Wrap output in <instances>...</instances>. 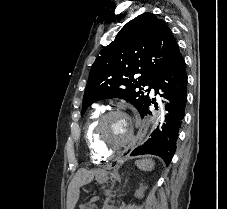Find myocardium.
Masks as SVG:
<instances>
[{
	"label": "myocardium",
	"instance_id": "myocardium-1",
	"mask_svg": "<svg viewBox=\"0 0 227 209\" xmlns=\"http://www.w3.org/2000/svg\"><path fill=\"white\" fill-rule=\"evenodd\" d=\"M118 115H121V116H124L127 118L126 114L123 111H121L119 109H109V110L103 112L99 116V118L97 119L95 126H94V141H95L97 147L101 150V152H103L104 154H107V155H113V154L119 152L120 150H122L123 148L127 147L135 137V129H134L133 125L131 124V122L128 120L130 123V127H131V133L127 140H125L122 143L116 144L114 146H109L103 140L102 131H103V127H104L105 123L111 117L118 116Z\"/></svg>",
	"mask_w": 227,
	"mask_h": 209
}]
</instances>
